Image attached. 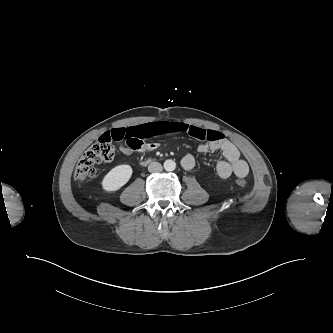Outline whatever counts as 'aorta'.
Masks as SVG:
<instances>
[{
	"label": "aorta",
	"mask_w": 333,
	"mask_h": 333,
	"mask_svg": "<svg viewBox=\"0 0 333 333\" xmlns=\"http://www.w3.org/2000/svg\"><path fill=\"white\" fill-rule=\"evenodd\" d=\"M176 168V163L174 160L168 159L164 162V169L166 171H173Z\"/></svg>",
	"instance_id": "aorta-1"
}]
</instances>
